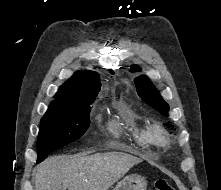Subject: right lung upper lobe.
Segmentation results:
<instances>
[{"mask_svg": "<svg viewBox=\"0 0 221 190\" xmlns=\"http://www.w3.org/2000/svg\"><path fill=\"white\" fill-rule=\"evenodd\" d=\"M101 83L97 72L77 71L58 90L50 109L72 108L80 103L95 100Z\"/></svg>", "mask_w": 221, "mask_h": 190, "instance_id": "obj_1", "label": "right lung upper lobe"}]
</instances>
